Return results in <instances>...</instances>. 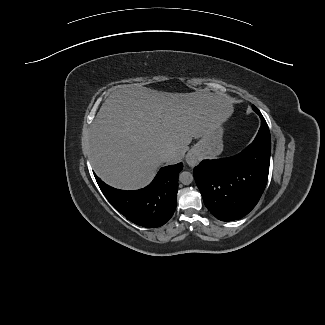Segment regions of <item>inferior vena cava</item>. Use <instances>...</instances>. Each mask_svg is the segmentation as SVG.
I'll list each match as a JSON object with an SVG mask.
<instances>
[{
	"label": "inferior vena cava",
	"mask_w": 325,
	"mask_h": 325,
	"mask_svg": "<svg viewBox=\"0 0 325 325\" xmlns=\"http://www.w3.org/2000/svg\"><path fill=\"white\" fill-rule=\"evenodd\" d=\"M161 157H162L164 162H168L173 157V153L170 150H166V151L162 152Z\"/></svg>",
	"instance_id": "inferior-vena-cava-1"
}]
</instances>
